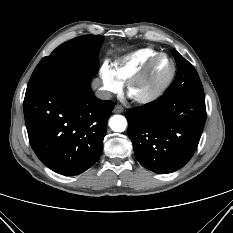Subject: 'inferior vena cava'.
Masks as SVG:
<instances>
[{
	"label": "inferior vena cava",
	"instance_id": "1",
	"mask_svg": "<svg viewBox=\"0 0 233 233\" xmlns=\"http://www.w3.org/2000/svg\"><path fill=\"white\" fill-rule=\"evenodd\" d=\"M95 95H96L97 98H99L101 100H109L111 98L110 92L102 90V89H98L95 92Z\"/></svg>",
	"mask_w": 233,
	"mask_h": 233
}]
</instances>
